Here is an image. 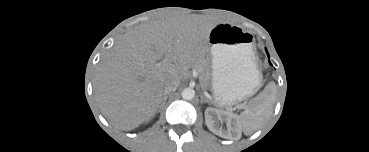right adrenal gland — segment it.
<instances>
[{
    "instance_id": "right-adrenal-gland-1",
    "label": "right adrenal gland",
    "mask_w": 369,
    "mask_h": 152,
    "mask_svg": "<svg viewBox=\"0 0 369 152\" xmlns=\"http://www.w3.org/2000/svg\"><path fill=\"white\" fill-rule=\"evenodd\" d=\"M167 98H168V96H167V95H165V96L163 97L162 102H161V104L158 106V108L163 107V105H164V104L166 103V101H167Z\"/></svg>"
}]
</instances>
